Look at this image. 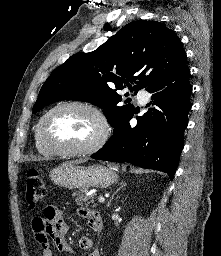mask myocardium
Wrapping results in <instances>:
<instances>
[{
	"instance_id": "f54148a6",
	"label": "myocardium",
	"mask_w": 221,
	"mask_h": 256,
	"mask_svg": "<svg viewBox=\"0 0 221 256\" xmlns=\"http://www.w3.org/2000/svg\"><path fill=\"white\" fill-rule=\"evenodd\" d=\"M68 107H78V108L85 109L91 112L98 119L100 123V128H101L100 134L96 138V140L92 142L90 145L81 147V148H67V147L56 145L50 142L46 138L44 128L49 117L56 111L63 108H68ZM109 134H110V124L108 122L106 115L103 113V111L97 106L84 101H68V102H63L55 105L41 117L37 125V136L40 143L45 148L54 152L55 154L64 155V156H84V155L93 154L105 145V143L109 138Z\"/></svg>"
}]
</instances>
